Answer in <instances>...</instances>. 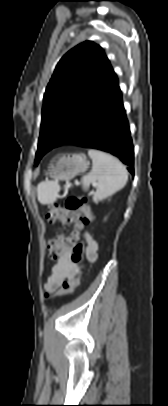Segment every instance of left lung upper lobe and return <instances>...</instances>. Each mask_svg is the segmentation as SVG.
I'll return each mask as SVG.
<instances>
[{
  "label": "left lung upper lobe",
  "mask_w": 168,
  "mask_h": 406,
  "mask_svg": "<svg viewBox=\"0 0 168 406\" xmlns=\"http://www.w3.org/2000/svg\"><path fill=\"white\" fill-rule=\"evenodd\" d=\"M115 78L102 48L91 41L77 45L62 57L44 94L35 165L80 130Z\"/></svg>",
  "instance_id": "left-lung-upper-lobe-1"
}]
</instances>
